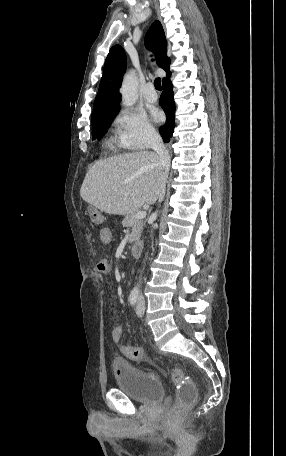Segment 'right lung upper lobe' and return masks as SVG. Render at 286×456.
<instances>
[{
  "label": "right lung upper lobe",
  "instance_id": "cb5924a9",
  "mask_svg": "<svg viewBox=\"0 0 286 456\" xmlns=\"http://www.w3.org/2000/svg\"><path fill=\"white\" fill-rule=\"evenodd\" d=\"M146 46L151 49L157 59L159 67L166 71V81L171 73L169 71L170 59L167 57V42L164 30L159 21H155L146 34ZM126 54L120 45L113 46L106 58L99 90L94 101L91 122L105 113L118 109L120 95L119 86L126 70Z\"/></svg>",
  "mask_w": 286,
  "mask_h": 456
}]
</instances>
